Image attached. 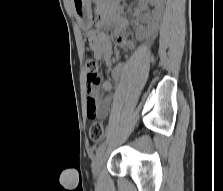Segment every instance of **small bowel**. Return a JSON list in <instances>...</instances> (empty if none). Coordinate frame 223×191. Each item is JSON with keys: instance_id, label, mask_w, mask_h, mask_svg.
<instances>
[{"instance_id": "small-bowel-1", "label": "small bowel", "mask_w": 223, "mask_h": 191, "mask_svg": "<svg viewBox=\"0 0 223 191\" xmlns=\"http://www.w3.org/2000/svg\"><path fill=\"white\" fill-rule=\"evenodd\" d=\"M98 15L93 27L87 32V41L90 49L93 51L96 59H103L107 66L111 65L112 41L107 29L114 27V36L116 41L127 49L133 47L132 42L127 36L128 22L126 19H114L107 17V7L99 3L95 9ZM124 68V63L118 64L112 69V77L114 80H119ZM101 93L98 92L97 86L88 84L87 92V116L89 119L96 117L105 118L111 108V99L105 95L112 89V84L109 80H103L100 83Z\"/></svg>"}]
</instances>
